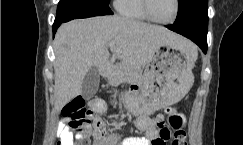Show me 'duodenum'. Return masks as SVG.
Wrapping results in <instances>:
<instances>
[{"instance_id": "duodenum-1", "label": "duodenum", "mask_w": 243, "mask_h": 145, "mask_svg": "<svg viewBox=\"0 0 243 145\" xmlns=\"http://www.w3.org/2000/svg\"><path fill=\"white\" fill-rule=\"evenodd\" d=\"M100 74L103 77H107L110 74V66L109 65H103L100 68Z\"/></svg>"}]
</instances>
